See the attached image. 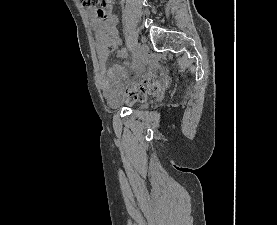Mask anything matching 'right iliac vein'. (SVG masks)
I'll return each instance as SVG.
<instances>
[{
	"label": "right iliac vein",
	"instance_id": "right-iliac-vein-1",
	"mask_svg": "<svg viewBox=\"0 0 277 225\" xmlns=\"http://www.w3.org/2000/svg\"><path fill=\"white\" fill-rule=\"evenodd\" d=\"M147 53H148V47L146 44H142L140 45L139 47V51H138V64L139 65H143L145 62H146V59H147Z\"/></svg>",
	"mask_w": 277,
	"mask_h": 225
}]
</instances>
